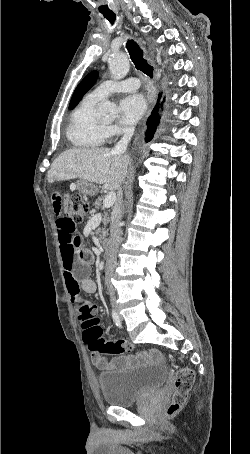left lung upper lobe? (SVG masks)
<instances>
[{
	"mask_svg": "<svg viewBox=\"0 0 250 454\" xmlns=\"http://www.w3.org/2000/svg\"><path fill=\"white\" fill-rule=\"evenodd\" d=\"M97 72L93 71L89 73L82 81L81 83L77 86L75 89L73 96L71 98L70 104H69V109H73L80 99L85 95V93L94 85L97 79Z\"/></svg>",
	"mask_w": 250,
	"mask_h": 454,
	"instance_id": "1",
	"label": "left lung upper lobe"
}]
</instances>
